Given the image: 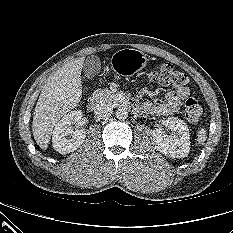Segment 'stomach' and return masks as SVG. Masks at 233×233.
I'll return each instance as SVG.
<instances>
[{"instance_id":"stomach-1","label":"stomach","mask_w":233,"mask_h":233,"mask_svg":"<svg viewBox=\"0 0 233 233\" xmlns=\"http://www.w3.org/2000/svg\"><path fill=\"white\" fill-rule=\"evenodd\" d=\"M147 64L146 55L140 50L125 48L116 51L111 57V67L124 76L134 74Z\"/></svg>"}]
</instances>
